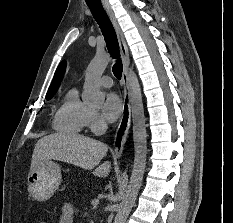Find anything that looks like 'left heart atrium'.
<instances>
[{"mask_svg": "<svg viewBox=\"0 0 233 223\" xmlns=\"http://www.w3.org/2000/svg\"><path fill=\"white\" fill-rule=\"evenodd\" d=\"M122 111L123 104L120 97L114 93L110 94L102 108L104 118L108 122H115L120 118Z\"/></svg>", "mask_w": 233, "mask_h": 223, "instance_id": "39dd6f15", "label": "left heart atrium"}]
</instances>
